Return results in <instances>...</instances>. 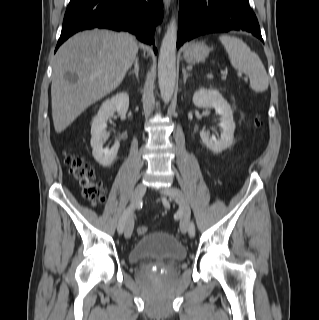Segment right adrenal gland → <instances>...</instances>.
Listing matches in <instances>:
<instances>
[{"mask_svg":"<svg viewBox=\"0 0 319 320\" xmlns=\"http://www.w3.org/2000/svg\"><path fill=\"white\" fill-rule=\"evenodd\" d=\"M135 73L136 78L139 79V59L136 57L134 60V69L129 74Z\"/></svg>","mask_w":319,"mask_h":320,"instance_id":"1","label":"right adrenal gland"}]
</instances>
